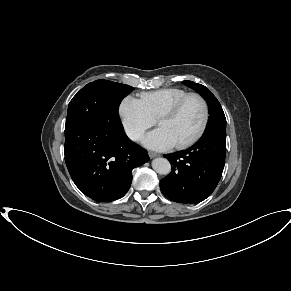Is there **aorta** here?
I'll return each instance as SVG.
<instances>
[{"label":"aorta","instance_id":"obj_1","mask_svg":"<svg viewBox=\"0 0 291 291\" xmlns=\"http://www.w3.org/2000/svg\"><path fill=\"white\" fill-rule=\"evenodd\" d=\"M152 168L160 175H167L171 171L170 162L166 158H156L152 161Z\"/></svg>","mask_w":291,"mask_h":291}]
</instances>
